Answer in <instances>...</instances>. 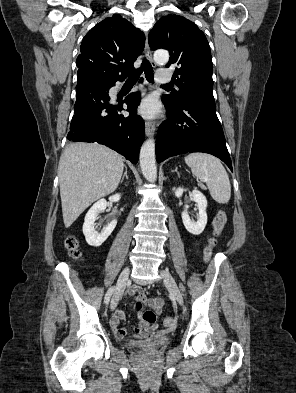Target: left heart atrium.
Here are the masks:
<instances>
[{
    "label": "left heart atrium",
    "mask_w": 296,
    "mask_h": 393,
    "mask_svg": "<svg viewBox=\"0 0 296 393\" xmlns=\"http://www.w3.org/2000/svg\"><path fill=\"white\" fill-rule=\"evenodd\" d=\"M138 113L147 119H153L157 117L159 113L158 101L153 97H147L141 102L138 107Z\"/></svg>",
    "instance_id": "39dd6f15"
}]
</instances>
